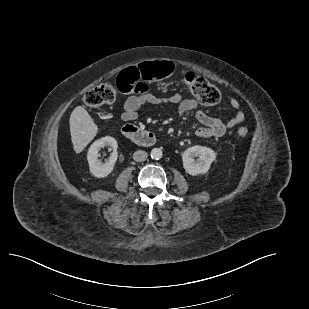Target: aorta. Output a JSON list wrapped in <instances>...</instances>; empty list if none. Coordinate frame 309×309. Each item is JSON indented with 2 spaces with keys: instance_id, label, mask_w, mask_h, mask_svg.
Returning <instances> with one entry per match:
<instances>
[{
  "instance_id": "1",
  "label": "aorta",
  "mask_w": 309,
  "mask_h": 309,
  "mask_svg": "<svg viewBox=\"0 0 309 309\" xmlns=\"http://www.w3.org/2000/svg\"><path fill=\"white\" fill-rule=\"evenodd\" d=\"M150 155H151L152 159L159 160L160 158H162L163 153H162V150L160 148H153L151 150Z\"/></svg>"
}]
</instances>
